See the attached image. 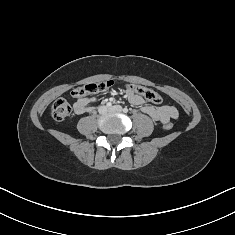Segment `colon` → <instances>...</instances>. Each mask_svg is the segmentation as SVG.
Masks as SVG:
<instances>
[{
    "label": "colon",
    "mask_w": 235,
    "mask_h": 235,
    "mask_svg": "<svg viewBox=\"0 0 235 235\" xmlns=\"http://www.w3.org/2000/svg\"><path fill=\"white\" fill-rule=\"evenodd\" d=\"M113 84L114 82L111 80L87 83L83 86L74 89L71 95L74 98H82L89 94L104 92L108 90L110 87H112ZM127 89H130L135 94L141 96L145 100L154 104H160L163 100L162 96L159 93L141 85L130 84L127 86ZM70 112H71L70 104L67 102V100L63 98L57 99L53 103L51 108L52 117L57 121H62L66 119L69 116ZM171 128H172V123L170 122L166 123L165 129L170 130Z\"/></svg>",
    "instance_id": "obj_1"
}]
</instances>
